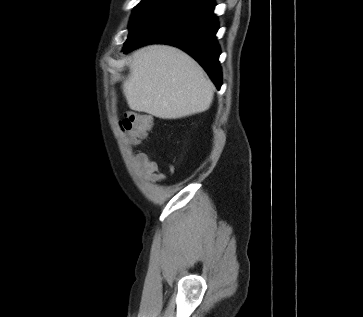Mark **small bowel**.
<instances>
[{"label": "small bowel", "mask_w": 363, "mask_h": 317, "mask_svg": "<svg viewBox=\"0 0 363 317\" xmlns=\"http://www.w3.org/2000/svg\"><path fill=\"white\" fill-rule=\"evenodd\" d=\"M138 164L144 169L145 174L151 182H162L165 176L157 171V166L154 162L150 161L146 155L140 154L137 156Z\"/></svg>", "instance_id": "obj_1"}]
</instances>
